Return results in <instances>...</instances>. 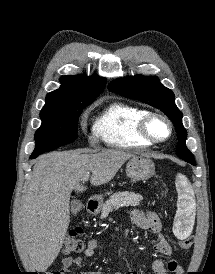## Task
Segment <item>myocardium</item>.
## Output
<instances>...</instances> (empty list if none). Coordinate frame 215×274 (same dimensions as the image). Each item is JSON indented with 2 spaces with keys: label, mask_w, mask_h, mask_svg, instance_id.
Returning <instances> with one entry per match:
<instances>
[{
  "label": "myocardium",
  "mask_w": 215,
  "mask_h": 274,
  "mask_svg": "<svg viewBox=\"0 0 215 274\" xmlns=\"http://www.w3.org/2000/svg\"><path fill=\"white\" fill-rule=\"evenodd\" d=\"M155 120H161L164 122L168 128V134L164 138H156L151 131L152 123ZM139 133L140 135L150 142L151 144H162L168 141L172 134H173V125L171 120L165 116L164 114L157 113V112H149L147 115H145L142 120L139 123Z\"/></svg>",
  "instance_id": "myocardium-1"
}]
</instances>
